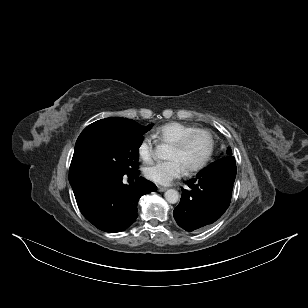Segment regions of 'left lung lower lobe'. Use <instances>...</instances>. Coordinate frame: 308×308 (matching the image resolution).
Masks as SVG:
<instances>
[{"mask_svg":"<svg viewBox=\"0 0 308 308\" xmlns=\"http://www.w3.org/2000/svg\"><path fill=\"white\" fill-rule=\"evenodd\" d=\"M235 177V158L225 156L188 180L191 189L182 188L181 202L173 211L177 224L195 232L220 218L230 205Z\"/></svg>","mask_w":308,"mask_h":308,"instance_id":"left-lung-lower-lobe-1","label":"left lung lower lobe"}]
</instances>
